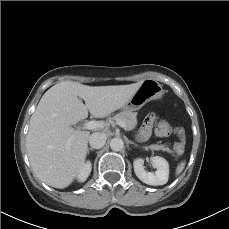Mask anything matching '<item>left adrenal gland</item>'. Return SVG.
Listing matches in <instances>:
<instances>
[{
	"instance_id": "obj_1",
	"label": "left adrenal gland",
	"mask_w": 229,
	"mask_h": 229,
	"mask_svg": "<svg viewBox=\"0 0 229 229\" xmlns=\"http://www.w3.org/2000/svg\"><path fill=\"white\" fill-rule=\"evenodd\" d=\"M127 143H128V144H133V145H135V146H138L136 143H134V142H132V141H130V140H127Z\"/></svg>"
}]
</instances>
